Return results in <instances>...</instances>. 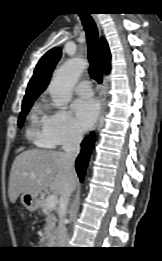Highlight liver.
I'll return each mask as SVG.
<instances>
[{
    "label": "liver",
    "instance_id": "6515ba94",
    "mask_svg": "<svg viewBox=\"0 0 162 261\" xmlns=\"http://www.w3.org/2000/svg\"><path fill=\"white\" fill-rule=\"evenodd\" d=\"M74 167L67 164L63 153L53 150L32 149L20 153L14 160L9 177L8 194L15 203L20 194L38 196L49 188L60 195L77 183Z\"/></svg>",
    "mask_w": 162,
    "mask_h": 261
}]
</instances>
